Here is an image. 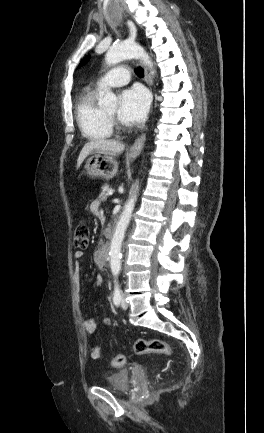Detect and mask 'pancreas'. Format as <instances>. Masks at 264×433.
Here are the masks:
<instances>
[{
	"instance_id": "1",
	"label": "pancreas",
	"mask_w": 264,
	"mask_h": 433,
	"mask_svg": "<svg viewBox=\"0 0 264 433\" xmlns=\"http://www.w3.org/2000/svg\"><path fill=\"white\" fill-rule=\"evenodd\" d=\"M108 190H109V185L108 184H104L102 186V188H101V193H100V196H99V199L101 201H106L107 200V198H108L107 191Z\"/></svg>"
}]
</instances>
